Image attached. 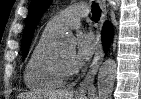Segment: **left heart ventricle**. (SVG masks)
Listing matches in <instances>:
<instances>
[{"label":"left heart ventricle","mask_w":141,"mask_h":99,"mask_svg":"<svg viewBox=\"0 0 141 99\" xmlns=\"http://www.w3.org/2000/svg\"><path fill=\"white\" fill-rule=\"evenodd\" d=\"M57 54L64 63H66L68 65L72 64L71 60H72L73 53L71 50H67V49L60 50L57 52Z\"/></svg>","instance_id":"b2bd125f"}]
</instances>
